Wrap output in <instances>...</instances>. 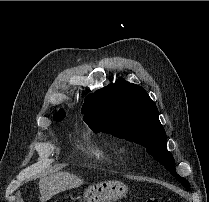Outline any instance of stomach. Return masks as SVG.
<instances>
[{
    "instance_id": "stomach-1",
    "label": "stomach",
    "mask_w": 209,
    "mask_h": 202,
    "mask_svg": "<svg viewBox=\"0 0 209 202\" xmlns=\"http://www.w3.org/2000/svg\"><path fill=\"white\" fill-rule=\"evenodd\" d=\"M127 186L120 181H103L89 186L83 193L86 202H115L127 194Z\"/></svg>"
}]
</instances>
